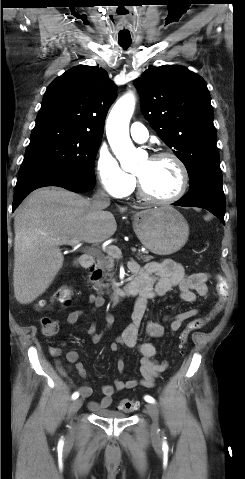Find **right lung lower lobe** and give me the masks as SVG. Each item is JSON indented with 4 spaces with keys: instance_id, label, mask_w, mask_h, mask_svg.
Segmentation results:
<instances>
[{
    "instance_id": "obj_1",
    "label": "right lung lower lobe",
    "mask_w": 245,
    "mask_h": 479,
    "mask_svg": "<svg viewBox=\"0 0 245 479\" xmlns=\"http://www.w3.org/2000/svg\"><path fill=\"white\" fill-rule=\"evenodd\" d=\"M45 186H58L83 193L94 188L95 181L57 169H40L19 175L14 190L13 211L29 193Z\"/></svg>"
}]
</instances>
